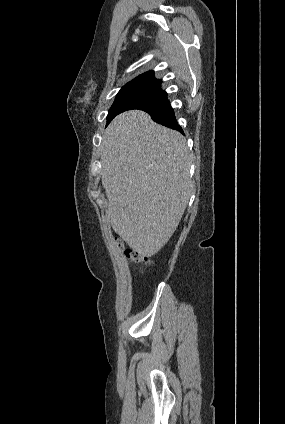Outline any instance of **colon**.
I'll return each instance as SVG.
<instances>
[{"mask_svg":"<svg viewBox=\"0 0 285 424\" xmlns=\"http://www.w3.org/2000/svg\"><path fill=\"white\" fill-rule=\"evenodd\" d=\"M124 254L127 258H129L131 261L136 263L146 262V258L138 251H135L130 248H124Z\"/></svg>","mask_w":285,"mask_h":424,"instance_id":"5ec220e1","label":"colon"}]
</instances>
